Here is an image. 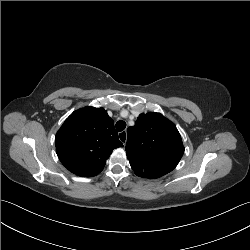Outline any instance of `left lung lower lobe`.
<instances>
[{
  "instance_id": "obj_1",
  "label": "left lung lower lobe",
  "mask_w": 250,
  "mask_h": 250,
  "mask_svg": "<svg viewBox=\"0 0 250 250\" xmlns=\"http://www.w3.org/2000/svg\"><path fill=\"white\" fill-rule=\"evenodd\" d=\"M154 162L152 160H147L144 164V170H143V178H159L163 175H161L160 172L153 170L150 168L151 165H153Z\"/></svg>"
}]
</instances>
